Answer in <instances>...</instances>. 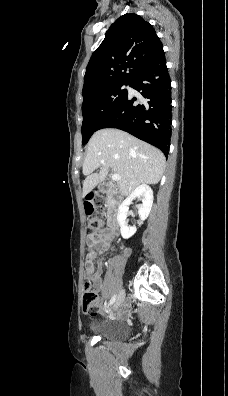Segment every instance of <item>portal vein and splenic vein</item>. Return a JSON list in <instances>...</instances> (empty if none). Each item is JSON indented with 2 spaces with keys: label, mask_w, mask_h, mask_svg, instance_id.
Wrapping results in <instances>:
<instances>
[{
  "label": "portal vein and splenic vein",
  "mask_w": 228,
  "mask_h": 396,
  "mask_svg": "<svg viewBox=\"0 0 228 396\" xmlns=\"http://www.w3.org/2000/svg\"><path fill=\"white\" fill-rule=\"evenodd\" d=\"M104 164V162H102ZM111 178L113 181H119L121 179L119 174H111Z\"/></svg>",
  "instance_id": "18ae733b"
}]
</instances>
